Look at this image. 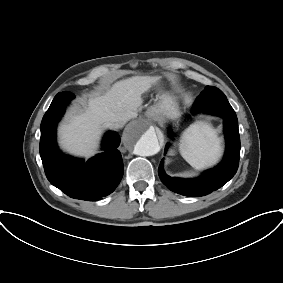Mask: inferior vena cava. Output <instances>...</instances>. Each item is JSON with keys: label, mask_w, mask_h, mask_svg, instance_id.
<instances>
[{"label": "inferior vena cava", "mask_w": 283, "mask_h": 283, "mask_svg": "<svg viewBox=\"0 0 283 283\" xmlns=\"http://www.w3.org/2000/svg\"><path fill=\"white\" fill-rule=\"evenodd\" d=\"M124 124L125 123L123 122H112V123H109L108 125L112 129H119V128H122Z\"/></svg>", "instance_id": "1"}]
</instances>
